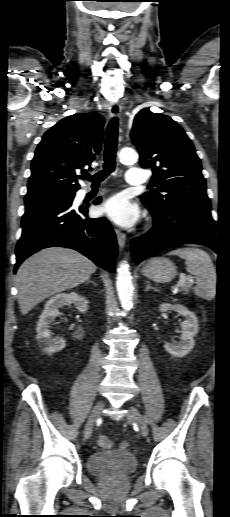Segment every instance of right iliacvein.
<instances>
[{
  "mask_svg": "<svg viewBox=\"0 0 230 517\" xmlns=\"http://www.w3.org/2000/svg\"><path fill=\"white\" fill-rule=\"evenodd\" d=\"M104 407V402L103 401H99L95 407L93 408L89 418H88V421L85 425V429H84V437L85 439H89L91 434H92V431H93V427L97 421V419L99 418L100 414H101V411Z\"/></svg>",
  "mask_w": 230,
  "mask_h": 517,
  "instance_id": "right-iliac-vein-1",
  "label": "right iliac vein"
}]
</instances>
